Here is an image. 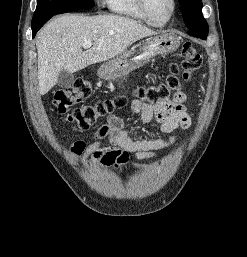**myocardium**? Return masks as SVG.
I'll list each match as a JSON object with an SVG mask.
<instances>
[{"label":"myocardium","mask_w":247,"mask_h":257,"mask_svg":"<svg viewBox=\"0 0 247 257\" xmlns=\"http://www.w3.org/2000/svg\"><path fill=\"white\" fill-rule=\"evenodd\" d=\"M138 7L146 20V22L152 26L155 27H163L167 25L174 17L176 10H177V2L176 0H171L172 3V10L170 15L163 21H156L150 14L149 8H148V0H137Z\"/></svg>","instance_id":"f54148a6"}]
</instances>
